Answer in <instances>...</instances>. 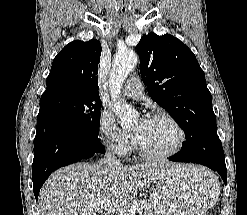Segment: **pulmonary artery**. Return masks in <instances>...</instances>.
<instances>
[{
	"mask_svg": "<svg viewBox=\"0 0 247 215\" xmlns=\"http://www.w3.org/2000/svg\"><path fill=\"white\" fill-rule=\"evenodd\" d=\"M123 94L131 99H141L144 95V88L138 77H132L127 80L123 88Z\"/></svg>",
	"mask_w": 247,
	"mask_h": 215,
	"instance_id": "pulmonary-artery-1",
	"label": "pulmonary artery"
}]
</instances>
